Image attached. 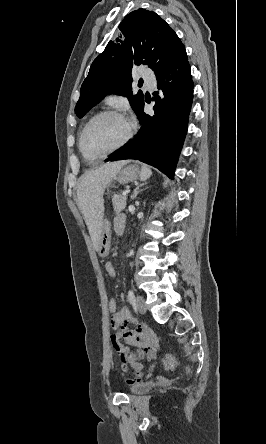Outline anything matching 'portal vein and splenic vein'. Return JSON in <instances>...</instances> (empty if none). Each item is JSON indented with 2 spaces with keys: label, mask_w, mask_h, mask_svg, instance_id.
<instances>
[{
  "label": "portal vein and splenic vein",
  "mask_w": 266,
  "mask_h": 444,
  "mask_svg": "<svg viewBox=\"0 0 266 444\" xmlns=\"http://www.w3.org/2000/svg\"><path fill=\"white\" fill-rule=\"evenodd\" d=\"M129 192H130V190L125 191V192L123 193V195H124V196H127Z\"/></svg>",
  "instance_id": "18ae733b"
}]
</instances>
